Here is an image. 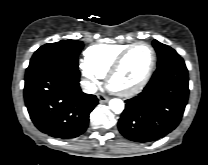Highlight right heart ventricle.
<instances>
[{"mask_svg":"<svg viewBox=\"0 0 208 165\" xmlns=\"http://www.w3.org/2000/svg\"><path fill=\"white\" fill-rule=\"evenodd\" d=\"M129 45L122 43L91 45L84 51L85 62L97 75L103 77L107 74L117 56Z\"/></svg>","mask_w":208,"mask_h":165,"instance_id":"right-heart-ventricle-1","label":"right heart ventricle"}]
</instances>
